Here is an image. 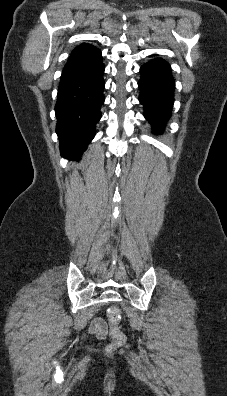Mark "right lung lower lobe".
Returning a JSON list of instances; mask_svg holds the SVG:
<instances>
[{
  "label": "right lung lower lobe",
  "instance_id": "right-lung-lower-lobe-1",
  "mask_svg": "<svg viewBox=\"0 0 227 396\" xmlns=\"http://www.w3.org/2000/svg\"><path fill=\"white\" fill-rule=\"evenodd\" d=\"M101 51L90 44L77 46L61 75L55 113L61 153L80 156L95 135L104 102Z\"/></svg>",
  "mask_w": 227,
  "mask_h": 396
}]
</instances>
